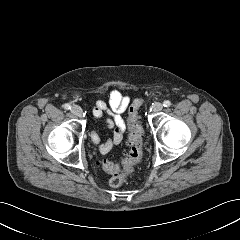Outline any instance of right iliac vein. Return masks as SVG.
<instances>
[{
  "label": "right iliac vein",
  "instance_id": "1",
  "mask_svg": "<svg viewBox=\"0 0 240 240\" xmlns=\"http://www.w3.org/2000/svg\"><path fill=\"white\" fill-rule=\"evenodd\" d=\"M71 112L76 115L77 117H81L82 116V109L80 106L78 105H74L71 108Z\"/></svg>",
  "mask_w": 240,
  "mask_h": 240
}]
</instances>
